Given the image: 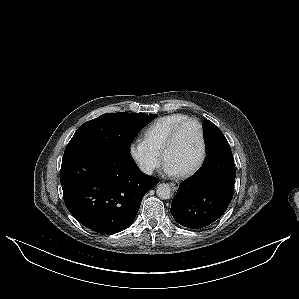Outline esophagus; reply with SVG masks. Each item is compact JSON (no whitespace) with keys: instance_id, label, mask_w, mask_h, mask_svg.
<instances>
[{"instance_id":"1","label":"esophagus","mask_w":299,"mask_h":299,"mask_svg":"<svg viewBox=\"0 0 299 299\" xmlns=\"http://www.w3.org/2000/svg\"><path fill=\"white\" fill-rule=\"evenodd\" d=\"M170 185L172 186V188H173L174 190H177V188H178V186H179V183H178V182H174V181H172V182H170Z\"/></svg>"}]
</instances>
